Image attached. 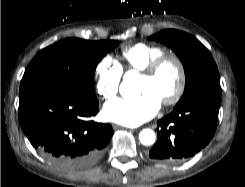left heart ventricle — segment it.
<instances>
[{
    "mask_svg": "<svg viewBox=\"0 0 245 187\" xmlns=\"http://www.w3.org/2000/svg\"><path fill=\"white\" fill-rule=\"evenodd\" d=\"M179 80L178 69L173 62H166L151 78L141 76L139 92H152L161 102L175 91Z\"/></svg>",
    "mask_w": 245,
    "mask_h": 187,
    "instance_id": "1",
    "label": "left heart ventricle"
}]
</instances>
